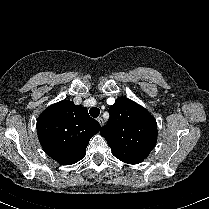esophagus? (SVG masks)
<instances>
[{
  "label": "esophagus",
  "mask_w": 209,
  "mask_h": 209,
  "mask_svg": "<svg viewBox=\"0 0 209 209\" xmlns=\"http://www.w3.org/2000/svg\"><path fill=\"white\" fill-rule=\"evenodd\" d=\"M97 121L99 122V124H100L101 126L104 125V120H103L101 117L97 118Z\"/></svg>",
  "instance_id": "34e87169"
}]
</instances>
